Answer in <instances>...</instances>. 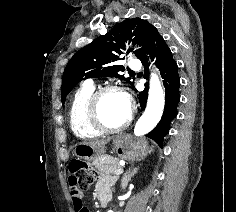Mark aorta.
I'll list each match as a JSON object with an SVG mask.
<instances>
[{
    "label": "aorta",
    "instance_id": "1",
    "mask_svg": "<svg viewBox=\"0 0 236 212\" xmlns=\"http://www.w3.org/2000/svg\"><path fill=\"white\" fill-rule=\"evenodd\" d=\"M165 104L163 89L158 76L151 74L147 107L137 121L134 134L142 136L150 132L160 121ZM108 212H113L111 209Z\"/></svg>",
    "mask_w": 236,
    "mask_h": 212
}]
</instances>
